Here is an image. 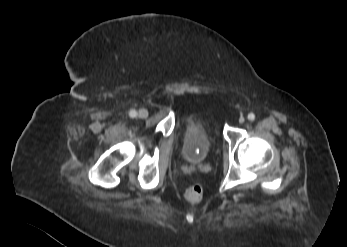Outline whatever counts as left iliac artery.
<instances>
[{
    "instance_id": "1",
    "label": "left iliac artery",
    "mask_w": 347,
    "mask_h": 247,
    "mask_svg": "<svg viewBox=\"0 0 347 247\" xmlns=\"http://www.w3.org/2000/svg\"><path fill=\"white\" fill-rule=\"evenodd\" d=\"M248 120L250 121H254L255 119V115L253 113H249L248 116H247Z\"/></svg>"
}]
</instances>
